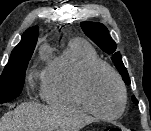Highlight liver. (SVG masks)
<instances>
[{
  "mask_svg": "<svg viewBox=\"0 0 151 131\" xmlns=\"http://www.w3.org/2000/svg\"><path fill=\"white\" fill-rule=\"evenodd\" d=\"M94 119L65 106L23 102L0 120V131H79Z\"/></svg>",
  "mask_w": 151,
  "mask_h": 131,
  "instance_id": "1",
  "label": "liver"
}]
</instances>
